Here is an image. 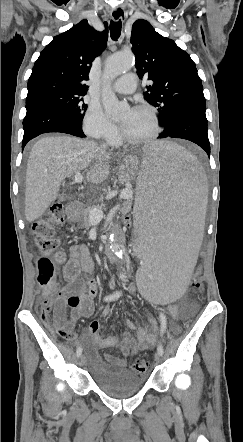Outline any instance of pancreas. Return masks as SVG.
<instances>
[{
  "label": "pancreas",
  "instance_id": "1",
  "mask_svg": "<svg viewBox=\"0 0 243 442\" xmlns=\"http://www.w3.org/2000/svg\"><path fill=\"white\" fill-rule=\"evenodd\" d=\"M131 207V201H125L123 203V207L121 209L122 212H126ZM94 209L93 207H88L84 209L83 211V224L86 229H89L91 227V219H90V211Z\"/></svg>",
  "mask_w": 243,
  "mask_h": 442
}]
</instances>
